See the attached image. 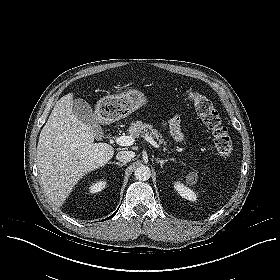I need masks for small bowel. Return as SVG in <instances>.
Instances as JSON below:
<instances>
[{"mask_svg":"<svg viewBox=\"0 0 280 280\" xmlns=\"http://www.w3.org/2000/svg\"><path fill=\"white\" fill-rule=\"evenodd\" d=\"M165 127L168 129L170 135L177 142H184L185 136L181 131V121L179 116H173L166 124Z\"/></svg>","mask_w":280,"mask_h":280,"instance_id":"obj_1","label":"small bowel"}]
</instances>
